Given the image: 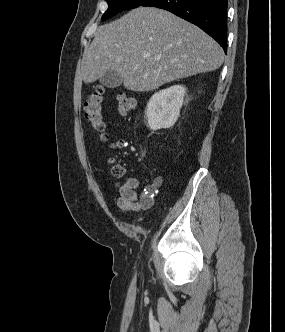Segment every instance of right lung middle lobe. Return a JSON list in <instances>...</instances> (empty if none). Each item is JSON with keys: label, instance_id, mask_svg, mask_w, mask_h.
<instances>
[{"label": "right lung middle lobe", "instance_id": "1", "mask_svg": "<svg viewBox=\"0 0 285 332\" xmlns=\"http://www.w3.org/2000/svg\"><path fill=\"white\" fill-rule=\"evenodd\" d=\"M108 9L102 16V21L114 16L115 14L143 4L146 0H106Z\"/></svg>", "mask_w": 285, "mask_h": 332}]
</instances>
